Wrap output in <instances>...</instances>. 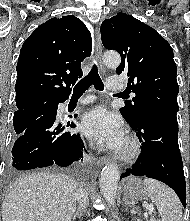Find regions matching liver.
Segmentation results:
<instances>
[{"label": "liver", "instance_id": "6515ba94", "mask_svg": "<svg viewBox=\"0 0 190 221\" xmlns=\"http://www.w3.org/2000/svg\"><path fill=\"white\" fill-rule=\"evenodd\" d=\"M78 184L61 173L37 172L16 182L2 205V221H71Z\"/></svg>", "mask_w": 190, "mask_h": 221}]
</instances>
